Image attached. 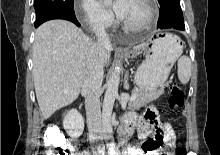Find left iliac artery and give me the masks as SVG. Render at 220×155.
<instances>
[{
	"label": "left iliac artery",
	"instance_id": "obj_1",
	"mask_svg": "<svg viewBox=\"0 0 220 155\" xmlns=\"http://www.w3.org/2000/svg\"><path fill=\"white\" fill-rule=\"evenodd\" d=\"M114 154L118 155L116 151H114L112 155H114Z\"/></svg>",
	"mask_w": 220,
	"mask_h": 155
}]
</instances>
